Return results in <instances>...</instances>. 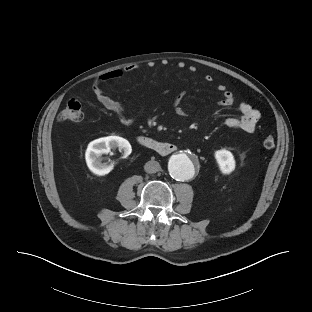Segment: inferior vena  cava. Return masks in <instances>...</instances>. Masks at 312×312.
I'll use <instances>...</instances> for the list:
<instances>
[{
  "instance_id": "602c4592",
  "label": "inferior vena cava",
  "mask_w": 312,
  "mask_h": 312,
  "mask_svg": "<svg viewBox=\"0 0 312 312\" xmlns=\"http://www.w3.org/2000/svg\"><path fill=\"white\" fill-rule=\"evenodd\" d=\"M144 169L147 173L152 174V173H156V172L160 171L161 166H160L159 162L151 160L145 164Z\"/></svg>"
}]
</instances>
